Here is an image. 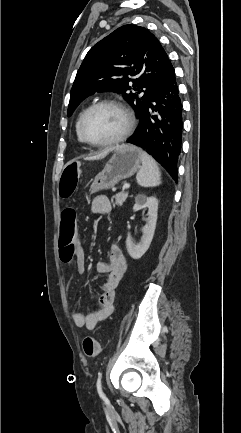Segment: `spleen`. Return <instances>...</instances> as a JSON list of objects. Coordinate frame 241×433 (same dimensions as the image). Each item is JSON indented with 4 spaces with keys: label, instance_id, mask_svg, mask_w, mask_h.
Masks as SVG:
<instances>
[{
    "label": "spleen",
    "instance_id": "spleen-1",
    "mask_svg": "<svg viewBox=\"0 0 241 433\" xmlns=\"http://www.w3.org/2000/svg\"><path fill=\"white\" fill-rule=\"evenodd\" d=\"M142 167L136 175L137 183L142 187H156L161 184V173L155 160L142 152Z\"/></svg>",
    "mask_w": 241,
    "mask_h": 433
}]
</instances>
